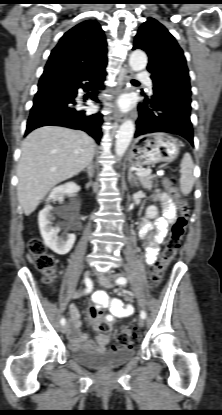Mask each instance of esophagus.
<instances>
[{
  "label": "esophagus",
  "instance_id": "34e87169",
  "mask_svg": "<svg viewBox=\"0 0 222 415\" xmlns=\"http://www.w3.org/2000/svg\"><path fill=\"white\" fill-rule=\"evenodd\" d=\"M132 77V72L129 68H126L124 71L120 74V81L121 85L118 90V92H123L128 89V82L130 81ZM112 118L116 120L118 123H121L124 120V116L120 113L119 109L115 106Z\"/></svg>",
  "mask_w": 222,
  "mask_h": 415
}]
</instances>
